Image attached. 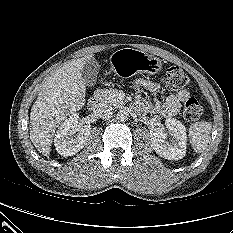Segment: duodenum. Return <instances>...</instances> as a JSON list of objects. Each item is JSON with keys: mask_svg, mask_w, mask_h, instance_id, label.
<instances>
[{"mask_svg": "<svg viewBox=\"0 0 233 233\" xmlns=\"http://www.w3.org/2000/svg\"><path fill=\"white\" fill-rule=\"evenodd\" d=\"M98 103H99V97L97 95H93L88 100V107L90 109H94L97 107Z\"/></svg>", "mask_w": 233, "mask_h": 233, "instance_id": "1", "label": "duodenum"}]
</instances>
